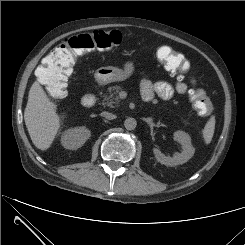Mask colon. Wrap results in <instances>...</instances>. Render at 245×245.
Returning <instances> with one entry per match:
<instances>
[{"label": "colon", "instance_id": "colon-1", "mask_svg": "<svg viewBox=\"0 0 245 245\" xmlns=\"http://www.w3.org/2000/svg\"><path fill=\"white\" fill-rule=\"evenodd\" d=\"M121 42L122 36L117 30H99L71 37L54 48L45 58L38 70V77L44 82L52 98H62L67 93L68 79L78 56L94 50H109L118 47ZM158 59L178 74L183 73L188 67L184 57L169 47L159 51ZM190 101L200 116L208 117L214 112V105L203 90H192Z\"/></svg>", "mask_w": 245, "mask_h": 245}]
</instances>
